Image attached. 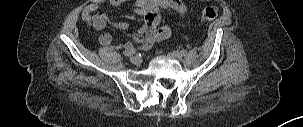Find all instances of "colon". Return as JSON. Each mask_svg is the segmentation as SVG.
I'll return each instance as SVG.
<instances>
[{
	"mask_svg": "<svg viewBox=\"0 0 303 127\" xmlns=\"http://www.w3.org/2000/svg\"><path fill=\"white\" fill-rule=\"evenodd\" d=\"M218 12L214 7H206L201 12V21L203 23H209L216 19Z\"/></svg>",
	"mask_w": 303,
	"mask_h": 127,
	"instance_id": "5ec220e1",
	"label": "colon"
}]
</instances>
